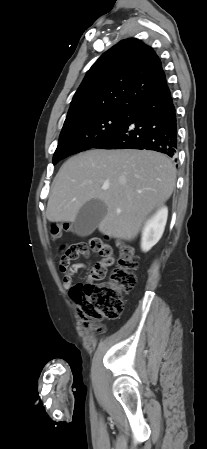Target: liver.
<instances>
[{"label":"liver","instance_id":"liver-1","mask_svg":"<svg viewBox=\"0 0 207 449\" xmlns=\"http://www.w3.org/2000/svg\"><path fill=\"white\" fill-rule=\"evenodd\" d=\"M176 168L164 154L148 150L93 149L68 159L60 168L48 200L50 222H74L91 199L107 206L99 231L133 240L148 215L172 195ZM108 183L107 190L102 186Z\"/></svg>","mask_w":207,"mask_h":449}]
</instances>
